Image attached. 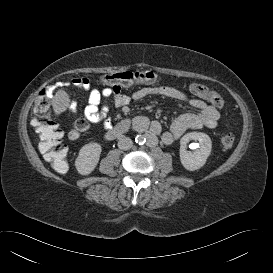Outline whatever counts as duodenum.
I'll return each instance as SVG.
<instances>
[{"mask_svg":"<svg viewBox=\"0 0 273 273\" xmlns=\"http://www.w3.org/2000/svg\"><path fill=\"white\" fill-rule=\"evenodd\" d=\"M129 127H130V121L123 120L107 131L106 138L108 140L118 138L122 136L123 134H125L129 130Z\"/></svg>","mask_w":273,"mask_h":273,"instance_id":"obj_1","label":"duodenum"}]
</instances>
